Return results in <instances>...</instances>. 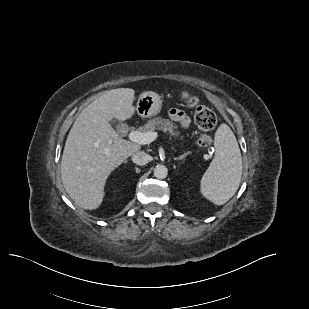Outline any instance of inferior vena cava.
Masks as SVG:
<instances>
[{"label":"inferior vena cava","instance_id":"obj_1","mask_svg":"<svg viewBox=\"0 0 309 309\" xmlns=\"http://www.w3.org/2000/svg\"><path fill=\"white\" fill-rule=\"evenodd\" d=\"M132 161L137 165H145L150 161V156L144 151H136L132 154Z\"/></svg>","mask_w":309,"mask_h":309}]
</instances>
